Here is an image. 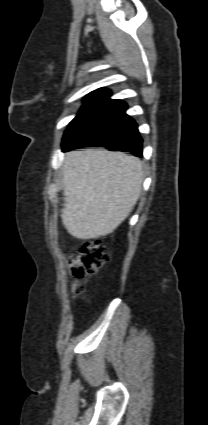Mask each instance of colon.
<instances>
[{
    "label": "colon",
    "instance_id": "5ec220e1",
    "mask_svg": "<svg viewBox=\"0 0 208 425\" xmlns=\"http://www.w3.org/2000/svg\"><path fill=\"white\" fill-rule=\"evenodd\" d=\"M109 260V251L100 239L84 241L79 248L69 256V268L76 280L74 292L84 291L83 281L89 275L95 274Z\"/></svg>",
    "mask_w": 208,
    "mask_h": 425
}]
</instances>
